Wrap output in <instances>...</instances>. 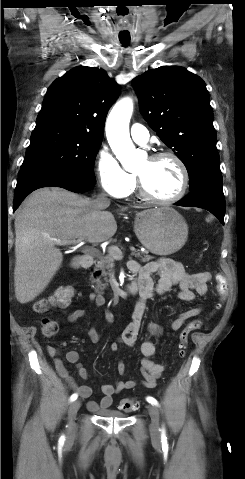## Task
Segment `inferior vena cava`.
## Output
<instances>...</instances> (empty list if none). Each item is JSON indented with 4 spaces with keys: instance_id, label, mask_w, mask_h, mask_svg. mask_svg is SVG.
<instances>
[{
    "instance_id": "602c4592",
    "label": "inferior vena cava",
    "mask_w": 245,
    "mask_h": 479,
    "mask_svg": "<svg viewBox=\"0 0 245 479\" xmlns=\"http://www.w3.org/2000/svg\"><path fill=\"white\" fill-rule=\"evenodd\" d=\"M96 200L99 202V203H104V204H108L109 203V199L106 197V195L104 193H100Z\"/></svg>"
}]
</instances>
